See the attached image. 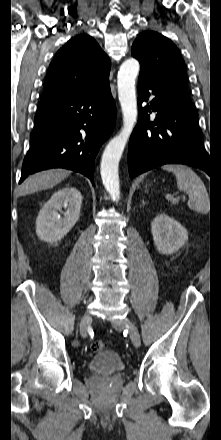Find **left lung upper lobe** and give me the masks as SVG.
Masks as SVG:
<instances>
[{
    "label": "left lung upper lobe",
    "mask_w": 221,
    "mask_h": 440,
    "mask_svg": "<svg viewBox=\"0 0 221 440\" xmlns=\"http://www.w3.org/2000/svg\"><path fill=\"white\" fill-rule=\"evenodd\" d=\"M131 53L140 62L139 76L191 101L185 64L172 41L154 31H145L134 41Z\"/></svg>",
    "instance_id": "obj_1"
}]
</instances>
